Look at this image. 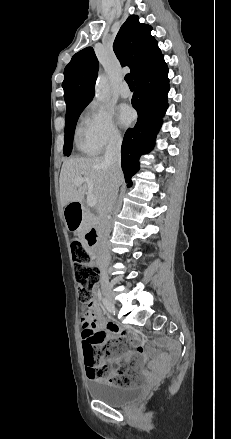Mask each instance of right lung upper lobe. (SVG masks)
Returning <instances> with one entry per match:
<instances>
[{
	"label": "right lung upper lobe",
	"instance_id": "right-lung-upper-lobe-1",
	"mask_svg": "<svg viewBox=\"0 0 231 439\" xmlns=\"http://www.w3.org/2000/svg\"><path fill=\"white\" fill-rule=\"evenodd\" d=\"M152 27L132 15L121 26L113 50L122 66H129L135 78L152 67L163 55L151 35ZM98 60L92 47L76 53L64 70L62 83L67 110L89 103L94 97Z\"/></svg>",
	"mask_w": 231,
	"mask_h": 439
}]
</instances>
